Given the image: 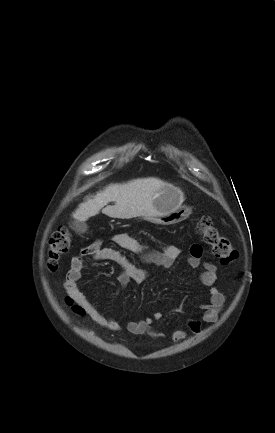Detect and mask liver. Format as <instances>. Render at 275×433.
Returning a JSON list of instances; mask_svg holds the SVG:
<instances>
[{"label":"liver","instance_id":"liver-1","mask_svg":"<svg viewBox=\"0 0 275 433\" xmlns=\"http://www.w3.org/2000/svg\"><path fill=\"white\" fill-rule=\"evenodd\" d=\"M165 186L172 185L153 177L112 184L96 196L87 197L72 216L77 221L85 222L102 209L103 214L112 218L152 217L157 214L153 205V196L156 191ZM181 195V202H183V194ZM109 202H115V205L107 206Z\"/></svg>","mask_w":275,"mask_h":433}]
</instances>
